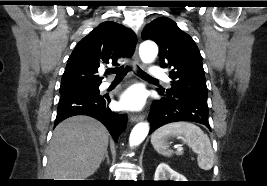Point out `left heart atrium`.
I'll return each mask as SVG.
<instances>
[{"mask_svg": "<svg viewBox=\"0 0 267 186\" xmlns=\"http://www.w3.org/2000/svg\"><path fill=\"white\" fill-rule=\"evenodd\" d=\"M145 100V92L141 88L133 86L122 93L119 105L122 109L138 111L144 106Z\"/></svg>", "mask_w": 267, "mask_h": 186, "instance_id": "1", "label": "left heart atrium"}]
</instances>
